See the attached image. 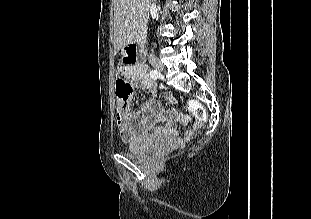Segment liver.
<instances>
[{
    "mask_svg": "<svg viewBox=\"0 0 311 219\" xmlns=\"http://www.w3.org/2000/svg\"><path fill=\"white\" fill-rule=\"evenodd\" d=\"M153 0H114V52L132 43L147 24Z\"/></svg>",
    "mask_w": 311,
    "mask_h": 219,
    "instance_id": "6515ba94",
    "label": "liver"
}]
</instances>
